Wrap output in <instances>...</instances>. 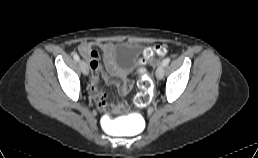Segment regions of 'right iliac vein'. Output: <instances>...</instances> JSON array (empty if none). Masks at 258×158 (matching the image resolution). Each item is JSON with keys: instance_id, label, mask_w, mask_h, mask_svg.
I'll list each match as a JSON object with an SVG mask.
<instances>
[{"instance_id": "63e3f726", "label": "right iliac vein", "mask_w": 258, "mask_h": 158, "mask_svg": "<svg viewBox=\"0 0 258 158\" xmlns=\"http://www.w3.org/2000/svg\"><path fill=\"white\" fill-rule=\"evenodd\" d=\"M80 68H81V71L84 75H88L89 68H88V65L85 61H80Z\"/></svg>"}]
</instances>
